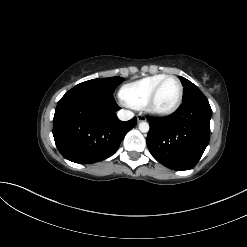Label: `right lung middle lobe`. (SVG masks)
<instances>
[{
    "label": "right lung middle lobe",
    "instance_id": "dd1d6c3e",
    "mask_svg": "<svg viewBox=\"0 0 247 247\" xmlns=\"http://www.w3.org/2000/svg\"><path fill=\"white\" fill-rule=\"evenodd\" d=\"M124 78L122 77H111V78H98L82 82L76 85L74 88L77 89H96L102 90L108 93H113L116 86H118Z\"/></svg>",
    "mask_w": 247,
    "mask_h": 247
}]
</instances>
